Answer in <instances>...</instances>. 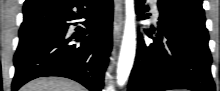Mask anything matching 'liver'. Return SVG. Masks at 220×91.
<instances>
[{
  "instance_id": "6515ba94",
  "label": "liver",
  "mask_w": 220,
  "mask_h": 91,
  "mask_svg": "<svg viewBox=\"0 0 220 91\" xmlns=\"http://www.w3.org/2000/svg\"><path fill=\"white\" fill-rule=\"evenodd\" d=\"M20 91H86L80 84L59 77H42L24 85Z\"/></svg>"
}]
</instances>
